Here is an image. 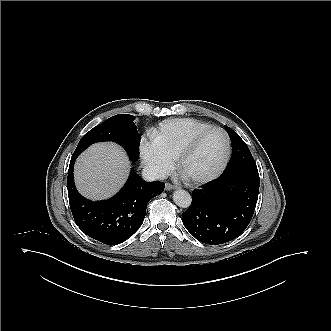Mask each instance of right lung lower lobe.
<instances>
[{
    "label": "right lung lower lobe",
    "instance_id": "1",
    "mask_svg": "<svg viewBox=\"0 0 331 331\" xmlns=\"http://www.w3.org/2000/svg\"><path fill=\"white\" fill-rule=\"evenodd\" d=\"M73 154L68 170V197L76 224L91 238L117 245L130 238L144 221L147 203L163 192V182H145L135 172L120 192L106 201H91L76 190Z\"/></svg>",
    "mask_w": 331,
    "mask_h": 331
}]
</instances>
